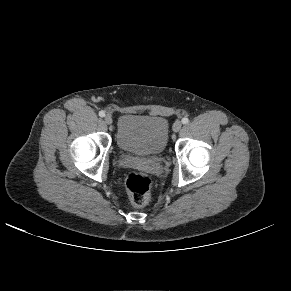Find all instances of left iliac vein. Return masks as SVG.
Returning a JSON list of instances; mask_svg holds the SVG:
<instances>
[{
  "label": "left iliac vein",
  "mask_w": 291,
  "mask_h": 291,
  "mask_svg": "<svg viewBox=\"0 0 291 291\" xmlns=\"http://www.w3.org/2000/svg\"><path fill=\"white\" fill-rule=\"evenodd\" d=\"M181 127H182V123L180 121H176L173 124V131L174 132H179L181 130Z\"/></svg>",
  "instance_id": "1"
}]
</instances>
